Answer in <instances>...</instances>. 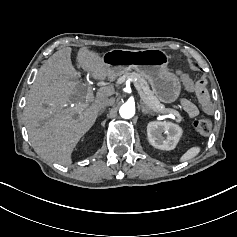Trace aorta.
<instances>
[{
	"instance_id": "1",
	"label": "aorta",
	"mask_w": 237,
	"mask_h": 237,
	"mask_svg": "<svg viewBox=\"0 0 237 237\" xmlns=\"http://www.w3.org/2000/svg\"><path fill=\"white\" fill-rule=\"evenodd\" d=\"M119 114L123 119H131L135 114V107L130 103L123 104L119 109Z\"/></svg>"
}]
</instances>
